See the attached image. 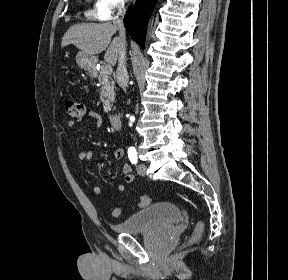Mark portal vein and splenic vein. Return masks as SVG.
<instances>
[{
  "label": "portal vein and splenic vein",
  "instance_id": "portal-vein-and-splenic-vein-1",
  "mask_svg": "<svg viewBox=\"0 0 288 280\" xmlns=\"http://www.w3.org/2000/svg\"><path fill=\"white\" fill-rule=\"evenodd\" d=\"M104 72L107 74H111L112 73V67L110 65H105L104 66Z\"/></svg>",
  "mask_w": 288,
  "mask_h": 280
}]
</instances>
